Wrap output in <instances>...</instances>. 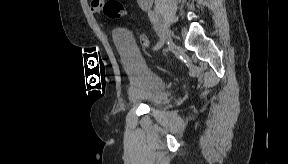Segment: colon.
Returning <instances> with one entry per match:
<instances>
[{"label":"colon","mask_w":288,"mask_h":164,"mask_svg":"<svg viewBox=\"0 0 288 164\" xmlns=\"http://www.w3.org/2000/svg\"><path fill=\"white\" fill-rule=\"evenodd\" d=\"M104 12L110 19H117L125 14V8L120 2L114 0L105 4ZM139 40L141 46L148 47L153 45L152 43H149V39L145 35L140 34ZM143 52H146V55H151V52H148V49H143Z\"/></svg>","instance_id":"colon-1"}]
</instances>
